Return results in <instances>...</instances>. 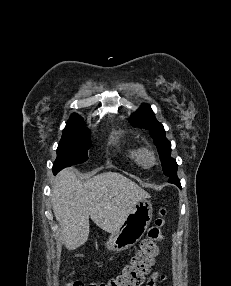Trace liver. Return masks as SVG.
<instances>
[{
    "label": "liver",
    "instance_id": "1",
    "mask_svg": "<svg viewBox=\"0 0 231 286\" xmlns=\"http://www.w3.org/2000/svg\"><path fill=\"white\" fill-rule=\"evenodd\" d=\"M150 195L116 172L80 181L71 168L62 170L52 187L51 203L68 250L83 245L89 236V217L108 233L116 232L133 207Z\"/></svg>",
    "mask_w": 231,
    "mask_h": 286
}]
</instances>
